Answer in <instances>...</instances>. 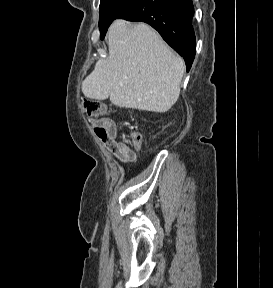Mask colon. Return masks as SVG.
Instances as JSON below:
<instances>
[{"label":"colon","mask_w":273,"mask_h":288,"mask_svg":"<svg viewBox=\"0 0 273 288\" xmlns=\"http://www.w3.org/2000/svg\"><path fill=\"white\" fill-rule=\"evenodd\" d=\"M84 110L89 120L94 124V131L96 135L102 139L106 137L105 130L100 126L99 119L107 115V107L104 103L98 100L87 99L84 101ZM129 141L134 145L140 143V135L132 133L129 136Z\"/></svg>","instance_id":"5ec220e1"}]
</instances>
